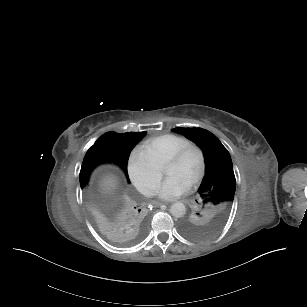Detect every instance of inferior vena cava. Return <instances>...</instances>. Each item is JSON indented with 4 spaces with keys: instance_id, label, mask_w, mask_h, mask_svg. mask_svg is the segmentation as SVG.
Returning a JSON list of instances; mask_svg holds the SVG:
<instances>
[{
    "instance_id": "inferior-vena-cava-1",
    "label": "inferior vena cava",
    "mask_w": 307,
    "mask_h": 307,
    "mask_svg": "<svg viewBox=\"0 0 307 307\" xmlns=\"http://www.w3.org/2000/svg\"><path fill=\"white\" fill-rule=\"evenodd\" d=\"M145 192H146V195H150V193H151V190H149V189H146V190H145Z\"/></svg>"
}]
</instances>
